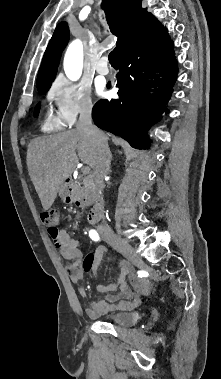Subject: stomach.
<instances>
[{"label":"stomach","instance_id":"1","mask_svg":"<svg viewBox=\"0 0 221 379\" xmlns=\"http://www.w3.org/2000/svg\"><path fill=\"white\" fill-rule=\"evenodd\" d=\"M68 194L67 185L65 183H62L59 187V195L63 198H65Z\"/></svg>","mask_w":221,"mask_h":379}]
</instances>
